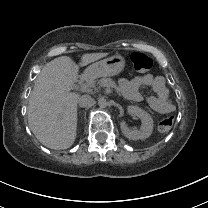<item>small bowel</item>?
Segmentation results:
<instances>
[{
    "label": "small bowel",
    "mask_w": 208,
    "mask_h": 208,
    "mask_svg": "<svg viewBox=\"0 0 208 208\" xmlns=\"http://www.w3.org/2000/svg\"><path fill=\"white\" fill-rule=\"evenodd\" d=\"M119 86L125 98L133 102H141L143 97L139 92L141 87L151 88L155 95L147 98L149 108L159 114H168L174 110V106L169 98L165 79L161 76L154 77L145 73L137 75L132 79L121 78Z\"/></svg>",
    "instance_id": "small-bowel-1"
}]
</instances>
